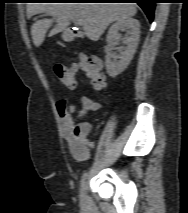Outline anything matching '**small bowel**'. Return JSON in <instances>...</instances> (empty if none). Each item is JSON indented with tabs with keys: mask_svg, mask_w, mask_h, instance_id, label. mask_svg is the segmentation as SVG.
<instances>
[{
	"mask_svg": "<svg viewBox=\"0 0 188 213\" xmlns=\"http://www.w3.org/2000/svg\"><path fill=\"white\" fill-rule=\"evenodd\" d=\"M79 102L81 109H78L77 105L71 101L61 100L57 104V109L72 157L78 162H85L90 159L91 150L94 148L93 142L88 138L90 124L86 120L75 123L72 114L79 112L80 115H84L97 111L101 104L88 97H81Z\"/></svg>",
	"mask_w": 188,
	"mask_h": 213,
	"instance_id": "c3829d8e",
	"label": "small bowel"
}]
</instances>
